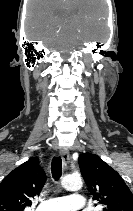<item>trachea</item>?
<instances>
[{
  "label": "trachea",
  "instance_id": "trachea-1",
  "mask_svg": "<svg viewBox=\"0 0 133 211\" xmlns=\"http://www.w3.org/2000/svg\"><path fill=\"white\" fill-rule=\"evenodd\" d=\"M52 176L58 181L62 174V160L60 157H54L51 163Z\"/></svg>",
  "mask_w": 133,
  "mask_h": 211
}]
</instances>
